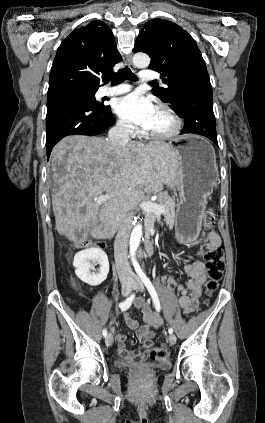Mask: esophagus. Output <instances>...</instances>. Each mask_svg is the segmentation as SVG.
Returning a JSON list of instances; mask_svg holds the SVG:
<instances>
[{"instance_id": "esophagus-1", "label": "esophagus", "mask_w": 265, "mask_h": 423, "mask_svg": "<svg viewBox=\"0 0 265 423\" xmlns=\"http://www.w3.org/2000/svg\"><path fill=\"white\" fill-rule=\"evenodd\" d=\"M126 61H127L128 66L130 67V69L135 70V66L132 62V56L131 55L127 56Z\"/></svg>"}]
</instances>
